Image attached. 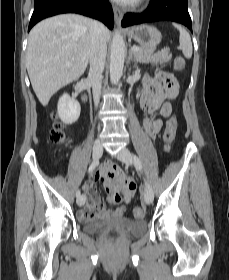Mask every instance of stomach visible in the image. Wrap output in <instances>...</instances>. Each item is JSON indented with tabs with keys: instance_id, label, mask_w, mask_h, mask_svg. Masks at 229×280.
Masks as SVG:
<instances>
[{
	"instance_id": "stomach-1",
	"label": "stomach",
	"mask_w": 229,
	"mask_h": 280,
	"mask_svg": "<svg viewBox=\"0 0 229 280\" xmlns=\"http://www.w3.org/2000/svg\"><path fill=\"white\" fill-rule=\"evenodd\" d=\"M127 35L141 45L142 48L151 50H155L162 39L161 33L157 28L145 24L130 28Z\"/></svg>"
}]
</instances>
